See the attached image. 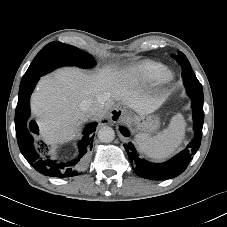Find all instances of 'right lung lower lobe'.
Instances as JSON below:
<instances>
[{"mask_svg": "<svg viewBox=\"0 0 227 227\" xmlns=\"http://www.w3.org/2000/svg\"><path fill=\"white\" fill-rule=\"evenodd\" d=\"M39 78L31 80L19 88L18 103L15 111V128L20 151L25 159L43 175L63 178L76 176L79 174L77 169L84 162L87 151L92 149L97 123H91L85 128L83 139L79 142V155L74 160L58 164L48 157L42 158L39 155L40 149H35L33 139V134H38L39 132L38 126L34 121L28 122L30 96Z\"/></svg>", "mask_w": 227, "mask_h": 227, "instance_id": "1", "label": "right lung lower lobe"}]
</instances>
